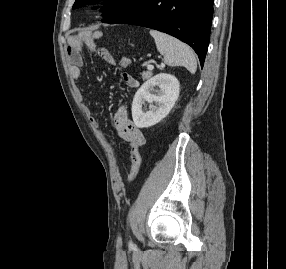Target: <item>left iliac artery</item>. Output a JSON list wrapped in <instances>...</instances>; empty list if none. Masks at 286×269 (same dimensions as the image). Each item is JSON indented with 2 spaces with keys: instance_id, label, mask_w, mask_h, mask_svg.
Instances as JSON below:
<instances>
[{
  "instance_id": "left-iliac-artery-1",
  "label": "left iliac artery",
  "mask_w": 286,
  "mask_h": 269,
  "mask_svg": "<svg viewBox=\"0 0 286 269\" xmlns=\"http://www.w3.org/2000/svg\"><path fill=\"white\" fill-rule=\"evenodd\" d=\"M129 246H130V247H132V246H133V243H132V241H130V242H129Z\"/></svg>"
}]
</instances>
